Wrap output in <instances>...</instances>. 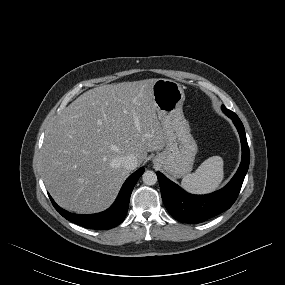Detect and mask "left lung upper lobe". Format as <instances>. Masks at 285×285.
<instances>
[{
    "label": "left lung upper lobe",
    "instance_id": "left-lung-upper-lobe-1",
    "mask_svg": "<svg viewBox=\"0 0 285 285\" xmlns=\"http://www.w3.org/2000/svg\"><path fill=\"white\" fill-rule=\"evenodd\" d=\"M222 110L225 114H235L234 112L230 111L229 109H227L224 105H222Z\"/></svg>",
    "mask_w": 285,
    "mask_h": 285
}]
</instances>
